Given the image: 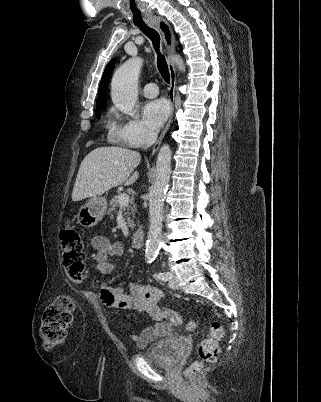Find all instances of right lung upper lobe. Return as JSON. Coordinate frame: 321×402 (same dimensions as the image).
Listing matches in <instances>:
<instances>
[{"mask_svg":"<svg viewBox=\"0 0 321 402\" xmlns=\"http://www.w3.org/2000/svg\"><path fill=\"white\" fill-rule=\"evenodd\" d=\"M114 59H112L108 65L105 68V71L103 73L101 82H100V87H99V91H98V99H97V108L99 107H103L106 106L107 103V87H108V82H109V78L111 76V73L113 71L114 68Z\"/></svg>","mask_w":321,"mask_h":402,"instance_id":"right-lung-upper-lobe-1","label":"right lung upper lobe"}]
</instances>
